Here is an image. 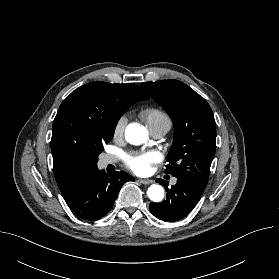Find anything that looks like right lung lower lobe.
<instances>
[{"instance_id":"1","label":"right lung lower lobe","mask_w":279,"mask_h":279,"mask_svg":"<svg viewBox=\"0 0 279 279\" xmlns=\"http://www.w3.org/2000/svg\"><path fill=\"white\" fill-rule=\"evenodd\" d=\"M134 178L124 171L109 175L97 165L89 167L65 199L72 212L84 220H98L113 207L120 188Z\"/></svg>"}]
</instances>
